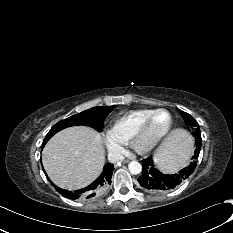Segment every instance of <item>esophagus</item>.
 Here are the masks:
<instances>
[{
    "mask_svg": "<svg viewBox=\"0 0 233 233\" xmlns=\"http://www.w3.org/2000/svg\"><path fill=\"white\" fill-rule=\"evenodd\" d=\"M128 162H129L128 159H123V160H122V163H128Z\"/></svg>",
    "mask_w": 233,
    "mask_h": 233,
    "instance_id": "1",
    "label": "esophagus"
}]
</instances>
